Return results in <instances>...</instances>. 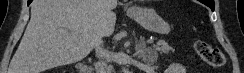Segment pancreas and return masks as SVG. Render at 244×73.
Returning <instances> with one entry per match:
<instances>
[{"mask_svg":"<svg viewBox=\"0 0 244 73\" xmlns=\"http://www.w3.org/2000/svg\"><path fill=\"white\" fill-rule=\"evenodd\" d=\"M155 51H159L160 53H164V54H171L174 53L175 50L173 49V47H171L166 41L164 40H159L157 42L156 45H154ZM147 62V60H146ZM97 69L99 71L104 70V64L103 63H98L96 65ZM102 72V71H101Z\"/></svg>","mask_w":244,"mask_h":73,"instance_id":"1","label":"pancreas"}]
</instances>
